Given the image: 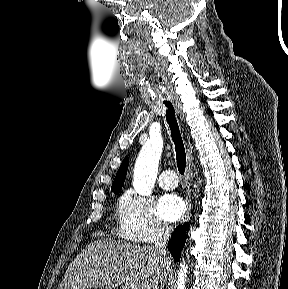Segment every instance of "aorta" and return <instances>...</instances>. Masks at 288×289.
<instances>
[{"mask_svg":"<svg viewBox=\"0 0 288 289\" xmlns=\"http://www.w3.org/2000/svg\"><path fill=\"white\" fill-rule=\"evenodd\" d=\"M163 148L160 137H151L142 147L134 168L133 186L135 191L142 195L151 194L158 172V165ZM188 265L180 263L178 271L177 289H186Z\"/></svg>","mask_w":288,"mask_h":289,"instance_id":"aorta-1","label":"aorta"}]
</instances>
